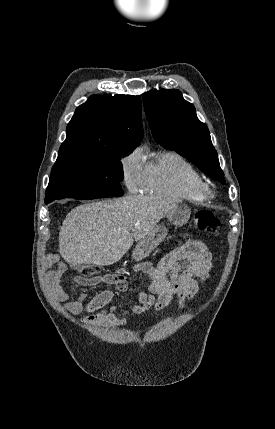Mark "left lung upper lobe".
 Here are the masks:
<instances>
[{"mask_svg": "<svg viewBox=\"0 0 275 429\" xmlns=\"http://www.w3.org/2000/svg\"><path fill=\"white\" fill-rule=\"evenodd\" d=\"M143 102L156 142L190 159L202 172L224 184L208 127L197 118L193 104L177 89L151 90L143 94Z\"/></svg>", "mask_w": 275, "mask_h": 429, "instance_id": "1", "label": "left lung upper lobe"}]
</instances>
